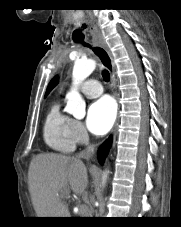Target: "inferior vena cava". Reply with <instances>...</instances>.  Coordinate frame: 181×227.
I'll use <instances>...</instances> for the list:
<instances>
[{"mask_svg": "<svg viewBox=\"0 0 181 227\" xmlns=\"http://www.w3.org/2000/svg\"><path fill=\"white\" fill-rule=\"evenodd\" d=\"M94 151H95V146L92 144L87 146L84 150H82L78 156L79 158H84L89 160L93 156Z\"/></svg>", "mask_w": 181, "mask_h": 227, "instance_id": "inferior-vena-cava-1", "label": "inferior vena cava"}]
</instances>
